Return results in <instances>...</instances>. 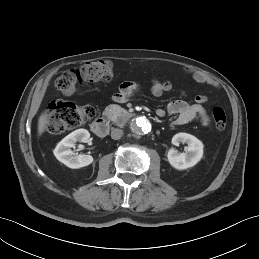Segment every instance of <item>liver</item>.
<instances>
[{
	"label": "liver",
	"mask_w": 259,
	"mask_h": 259,
	"mask_svg": "<svg viewBox=\"0 0 259 259\" xmlns=\"http://www.w3.org/2000/svg\"><path fill=\"white\" fill-rule=\"evenodd\" d=\"M47 123V115L45 113H42L38 119V136H41L44 133Z\"/></svg>",
	"instance_id": "liver-1"
}]
</instances>
